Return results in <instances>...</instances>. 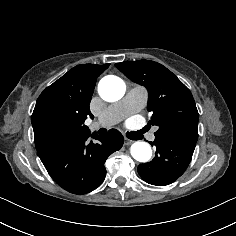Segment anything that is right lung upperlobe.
I'll return each mask as SVG.
<instances>
[{"mask_svg": "<svg viewBox=\"0 0 236 236\" xmlns=\"http://www.w3.org/2000/svg\"><path fill=\"white\" fill-rule=\"evenodd\" d=\"M109 65H78L41 93L32 114L36 147L48 142L45 132L49 125L93 117L89 104L96 79Z\"/></svg>", "mask_w": 236, "mask_h": 236, "instance_id": "cb5924a9", "label": "right lung upper lobe"}]
</instances>
